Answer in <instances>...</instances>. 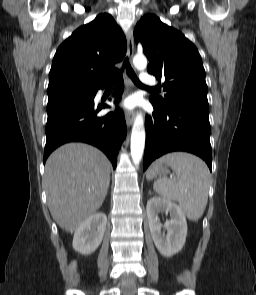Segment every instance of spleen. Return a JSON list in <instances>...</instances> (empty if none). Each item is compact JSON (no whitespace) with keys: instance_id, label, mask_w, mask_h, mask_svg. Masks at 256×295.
Masks as SVG:
<instances>
[{"instance_id":"3e777b00","label":"spleen","mask_w":256,"mask_h":295,"mask_svg":"<svg viewBox=\"0 0 256 295\" xmlns=\"http://www.w3.org/2000/svg\"><path fill=\"white\" fill-rule=\"evenodd\" d=\"M163 163L173 169L176 178L157 179L153 184L154 190L165 199L177 201L190 220H199L208 201L210 172L207 165L192 154L173 152L151 165L147 179L155 178L158 167Z\"/></svg>"}]
</instances>
